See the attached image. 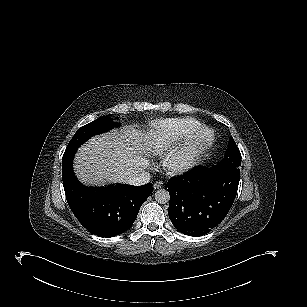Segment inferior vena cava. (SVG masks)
Here are the masks:
<instances>
[{
	"label": "inferior vena cava",
	"instance_id": "obj_1",
	"mask_svg": "<svg viewBox=\"0 0 307 307\" xmlns=\"http://www.w3.org/2000/svg\"><path fill=\"white\" fill-rule=\"evenodd\" d=\"M150 174L146 171H140L130 176L128 183L134 186L147 184L150 181Z\"/></svg>",
	"mask_w": 307,
	"mask_h": 307
}]
</instances>
